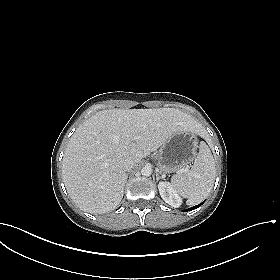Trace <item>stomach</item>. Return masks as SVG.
<instances>
[{
	"label": "stomach",
	"instance_id": "0dacf381",
	"mask_svg": "<svg viewBox=\"0 0 280 280\" xmlns=\"http://www.w3.org/2000/svg\"><path fill=\"white\" fill-rule=\"evenodd\" d=\"M197 134L182 130L172 135L160 148L157 160L162 173L178 172L193 162L197 151Z\"/></svg>",
	"mask_w": 280,
	"mask_h": 280
}]
</instances>
